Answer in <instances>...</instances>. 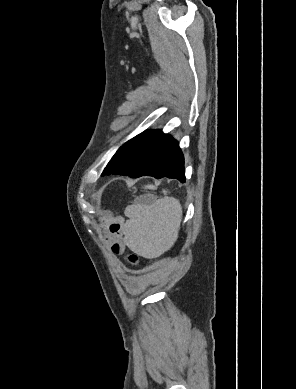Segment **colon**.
I'll use <instances>...</instances> for the list:
<instances>
[{"label":"colon","mask_w":296,"mask_h":389,"mask_svg":"<svg viewBox=\"0 0 296 389\" xmlns=\"http://www.w3.org/2000/svg\"><path fill=\"white\" fill-rule=\"evenodd\" d=\"M127 262L133 266H137L138 265V258L136 255L134 254H129L127 255Z\"/></svg>","instance_id":"obj_1"}]
</instances>
